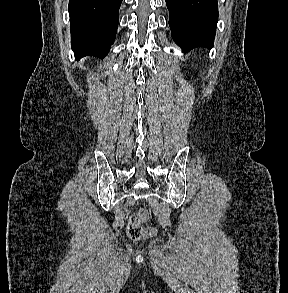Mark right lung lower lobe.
Listing matches in <instances>:
<instances>
[{"label":"right lung lower lobe","mask_w":288,"mask_h":293,"mask_svg":"<svg viewBox=\"0 0 288 293\" xmlns=\"http://www.w3.org/2000/svg\"><path fill=\"white\" fill-rule=\"evenodd\" d=\"M122 0H69L71 48L75 58L105 57L114 43Z\"/></svg>","instance_id":"98d812e1"}]
</instances>
